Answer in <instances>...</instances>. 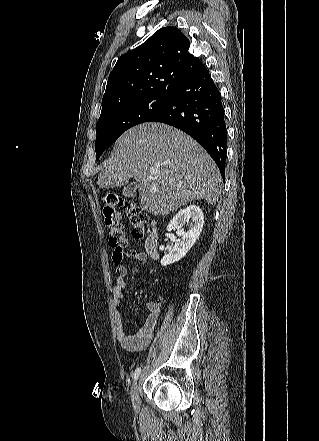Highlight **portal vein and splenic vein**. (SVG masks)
Instances as JSON below:
<instances>
[{"label":"portal vein and splenic vein","mask_w":319,"mask_h":441,"mask_svg":"<svg viewBox=\"0 0 319 441\" xmlns=\"http://www.w3.org/2000/svg\"><path fill=\"white\" fill-rule=\"evenodd\" d=\"M150 173H151L152 175H156V174H157V171H155V170H151Z\"/></svg>","instance_id":"obj_1"}]
</instances>
